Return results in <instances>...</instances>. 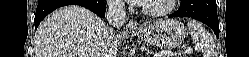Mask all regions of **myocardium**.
<instances>
[{
	"mask_svg": "<svg viewBox=\"0 0 249 57\" xmlns=\"http://www.w3.org/2000/svg\"><path fill=\"white\" fill-rule=\"evenodd\" d=\"M175 3L176 0H168L166 7L159 10L150 9L145 3H143L140 5V10L146 16L157 18L169 14L173 10Z\"/></svg>",
	"mask_w": 249,
	"mask_h": 57,
	"instance_id": "1",
	"label": "myocardium"
}]
</instances>
